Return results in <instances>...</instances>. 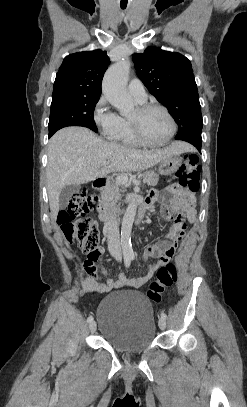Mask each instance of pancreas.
<instances>
[{
    "mask_svg": "<svg viewBox=\"0 0 247 407\" xmlns=\"http://www.w3.org/2000/svg\"><path fill=\"white\" fill-rule=\"evenodd\" d=\"M141 176L147 179L146 183L149 186H155L159 181V175L153 171L144 172ZM124 191L125 185L116 181L113 185L102 191L101 200L102 202L116 203L121 199V193Z\"/></svg>",
    "mask_w": 247,
    "mask_h": 407,
    "instance_id": "pancreas-1",
    "label": "pancreas"
}]
</instances>
